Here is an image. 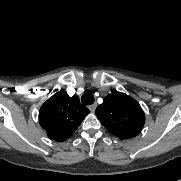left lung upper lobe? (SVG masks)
I'll return each instance as SVG.
<instances>
[{"label": "left lung upper lobe", "instance_id": "5c2ea615", "mask_svg": "<svg viewBox=\"0 0 181 181\" xmlns=\"http://www.w3.org/2000/svg\"><path fill=\"white\" fill-rule=\"evenodd\" d=\"M96 115L104 127L119 139L137 136L145 123L140 104L116 90L104 98L103 103L96 108Z\"/></svg>", "mask_w": 181, "mask_h": 181}]
</instances>
